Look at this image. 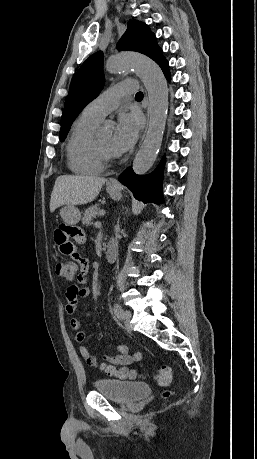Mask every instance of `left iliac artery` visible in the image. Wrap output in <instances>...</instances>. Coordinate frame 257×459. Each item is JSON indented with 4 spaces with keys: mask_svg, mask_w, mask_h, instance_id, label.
I'll list each match as a JSON object with an SVG mask.
<instances>
[{
    "mask_svg": "<svg viewBox=\"0 0 257 459\" xmlns=\"http://www.w3.org/2000/svg\"><path fill=\"white\" fill-rule=\"evenodd\" d=\"M113 310H114V314L116 315L118 319H123V309L121 308L119 304H115Z\"/></svg>",
    "mask_w": 257,
    "mask_h": 459,
    "instance_id": "44dca946",
    "label": "left iliac artery"
}]
</instances>
